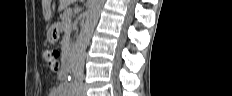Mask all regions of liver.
<instances>
[{"label":"liver","instance_id":"obj_1","mask_svg":"<svg viewBox=\"0 0 232 96\" xmlns=\"http://www.w3.org/2000/svg\"><path fill=\"white\" fill-rule=\"evenodd\" d=\"M72 1L73 0H59L58 11L63 10ZM51 2L52 0H42L43 16L45 21H49L52 17Z\"/></svg>","mask_w":232,"mask_h":96}]
</instances>
